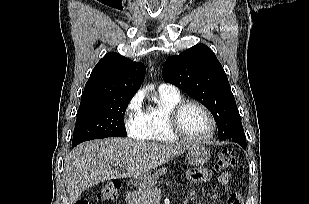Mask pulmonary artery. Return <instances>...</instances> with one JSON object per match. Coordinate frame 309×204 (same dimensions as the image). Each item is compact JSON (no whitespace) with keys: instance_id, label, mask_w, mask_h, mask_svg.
Here are the masks:
<instances>
[{"instance_id":"pulmonary-artery-1","label":"pulmonary artery","mask_w":309,"mask_h":204,"mask_svg":"<svg viewBox=\"0 0 309 204\" xmlns=\"http://www.w3.org/2000/svg\"><path fill=\"white\" fill-rule=\"evenodd\" d=\"M159 92L163 93H175L178 92V89L172 85V84H167V83H162L158 87Z\"/></svg>"}]
</instances>
